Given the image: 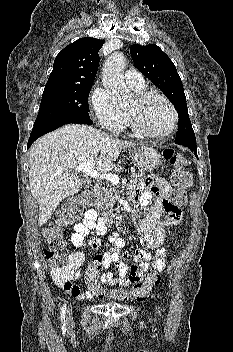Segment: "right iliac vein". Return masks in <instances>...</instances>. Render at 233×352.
I'll return each mask as SVG.
<instances>
[{"instance_id": "right-iliac-vein-1", "label": "right iliac vein", "mask_w": 233, "mask_h": 352, "mask_svg": "<svg viewBox=\"0 0 233 352\" xmlns=\"http://www.w3.org/2000/svg\"><path fill=\"white\" fill-rule=\"evenodd\" d=\"M67 323L70 326L73 323V317H72V307H69L67 310Z\"/></svg>"}]
</instances>
